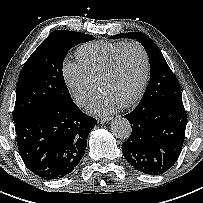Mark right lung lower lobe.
Wrapping results in <instances>:
<instances>
[{
    "mask_svg": "<svg viewBox=\"0 0 203 203\" xmlns=\"http://www.w3.org/2000/svg\"><path fill=\"white\" fill-rule=\"evenodd\" d=\"M96 123L73 101L32 113L15 122L19 154L35 175L62 178L79 164Z\"/></svg>",
    "mask_w": 203,
    "mask_h": 203,
    "instance_id": "obj_1",
    "label": "right lung lower lobe"
}]
</instances>
